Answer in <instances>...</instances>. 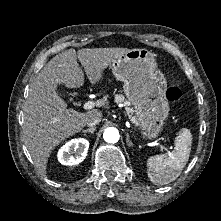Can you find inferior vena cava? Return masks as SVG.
Masks as SVG:
<instances>
[{"mask_svg": "<svg viewBox=\"0 0 221 221\" xmlns=\"http://www.w3.org/2000/svg\"><path fill=\"white\" fill-rule=\"evenodd\" d=\"M101 119H102V118H101V116L99 115V116L93 118L92 120H90V121L87 123V125H88L89 127H94L96 124H98V123L101 122Z\"/></svg>", "mask_w": 221, "mask_h": 221, "instance_id": "obj_1", "label": "inferior vena cava"}]
</instances>
